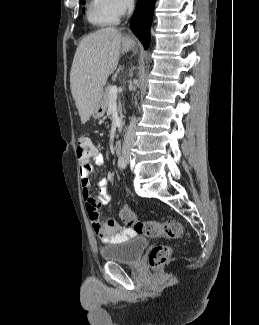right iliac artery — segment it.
I'll list each match as a JSON object with an SVG mask.
<instances>
[{
    "label": "right iliac artery",
    "mask_w": 259,
    "mask_h": 325,
    "mask_svg": "<svg viewBox=\"0 0 259 325\" xmlns=\"http://www.w3.org/2000/svg\"><path fill=\"white\" fill-rule=\"evenodd\" d=\"M122 165H127V161L123 156H120L118 159V166L122 169Z\"/></svg>",
    "instance_id": "82829eb1"
}]
</instances>
